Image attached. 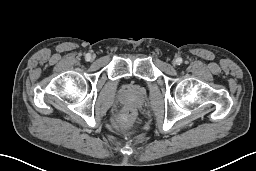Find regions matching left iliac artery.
<instances>
[{"instance_id": "44dca946", "label": "left iliac artery", "mask_w": 256, "mask_h": 171, "mask_svg": "<svg viewBox=\"0 0 256 171\" xmlns=\"http://www.w3.org/2000/svg\"><path fill=\"white\" fill-rule=\"evenodd\" d=\"M177 63H178V64L182 63V59H181V58H178V59H177Z\"/></svg>"}]
</instances>
